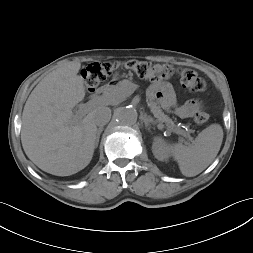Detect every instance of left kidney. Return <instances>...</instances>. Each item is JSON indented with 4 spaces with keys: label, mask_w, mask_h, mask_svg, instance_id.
I'll return each mask as SVG.
<instances>
[{
    "label": "left kidney",
    "mask_w": 253,
    "mask_h": 253,
    "mask_svg": "<svg viewBox=\"0 0 253 253\" xmlns=\"http://www.w3.org/2000/svg\"><path fill=\"white\" fill-rule=\"evenodd\" d=\"M152 152H153L155 158L160 161H166L168 159L167 144L160 137H156L154 139V142L152 145Z\"/></svg>",
    "instance_id": "1"
}]
</instances>
